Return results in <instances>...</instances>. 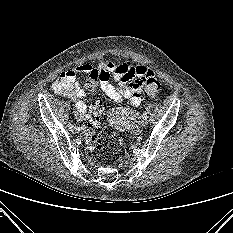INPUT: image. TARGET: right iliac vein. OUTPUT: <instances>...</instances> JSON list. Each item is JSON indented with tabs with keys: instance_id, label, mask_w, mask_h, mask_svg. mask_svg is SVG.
<instances>
[{
	"instance_id": "63e3f726",
	"label": "right iliac vein",
	"mask_w": 233,
	"mask_h": 233,
	"mask_svg": "<svg viewBox=\"0 0 233 233\" xmlns=\"http://www.w3.org/2000/svg\"><path fill=\"white\" fill-rule=\"evenodd\" d=\"M75 130H76L77 132H79V131H80V127H79V126H76Z\"/></svg>"
}]
</instances>
